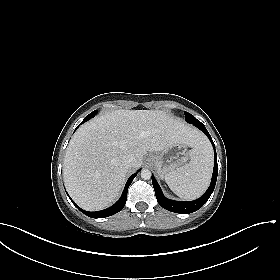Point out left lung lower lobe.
I'll use <instances>...</instances> for the list:
<instances>
[{
  "mask_svg": "<svg viewBox=\"0 0 280 280\" xmlns=\"http://www.w3.org/2000/svg\"><path fill=\"white\" fill-rule=\"evenodd\" d=\"M193 124L207 135L214 148V170H213L212 180L208 190L204 193V195L197 200L189 201V202H180V201L167 199L163 195L160 186L158 185L157 181L152 175V183H153V187L155 190V195L158 203L164 209L180 214H189L195 212L207 202V200L209 199V197L211 196L215 188L217 174H218L217 155H216V150H215V145L213 143V140L210 134L208 133L207 129L204 127V125L201 122L198 123L194 122Z\"/></svg>",
  "mask_w": 280,
  "mask_h": 280,
  "instance_id": "obj_1",
  "label": "left lung lower lobe"
}]
</instances>
